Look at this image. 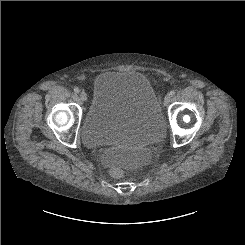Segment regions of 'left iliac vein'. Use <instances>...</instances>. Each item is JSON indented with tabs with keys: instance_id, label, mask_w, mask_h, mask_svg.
Here are the masks:
<instances>
[{
	"instance_id": "left-iliac-vein-1",
	"label": "left iliac vein",
	"mask_w": 245,
	"mask_h": 245,
	"mask_svg": "<svg viewBox=\"0 0 245 245\" xmlns=\"http://www.w3.org/2000/svg\"><path fill=\"white\" fill-rule=\"evenodd\" d=\"M171 100V96L169 94H167L165 97H164V103L165 104H168Z\"/></svg>"
}]
</instances>
